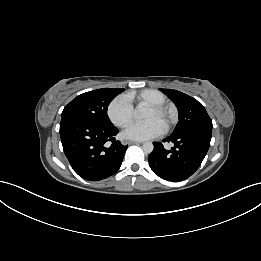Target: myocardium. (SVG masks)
I'll return each instance as SVG.
<instances>
[{"label": "myocardium", "instance_id": "myocardium-1", "mask_svg": "<svg viewBox=\"0 0 261 261\" xmlns=\"http://www.w3.org/2000/svg\"><path fill=\"white\" fill-rule=\"evenodd\" d=\"M149 108L155 111L158 114L165 115L167 117V122L165 125V131H169L174 124L177 121V111L176 109L167 104H154V105H149Z\"/></svg>", "mask_w": 261, "mask_h": 261}]
</instances>
